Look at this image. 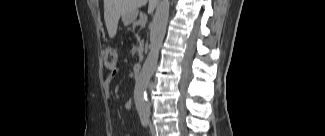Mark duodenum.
<instances>
[{"label":"duodenum","instance_id":"duodenum-1","mask_svg":"<svg viewBox=\"0 0 325 136\" xmlns=\"http://www.w3.org/2000/svg\"><path fill=\"white\" fill-rule=\"evenodd\" d=\"M141 69H142V64L141 63H136L134 65V68H133V74L135 76H138L140 74V72H141Z\"/></svg>","mask_w":325,"mask_h":136}]
</instances>
